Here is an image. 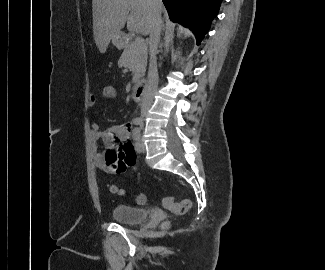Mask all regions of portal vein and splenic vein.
Masks as SVG:
<instances>
[{
    "instance_id": "obj_1",
    "label": "portal vein and splenic vein",
    "mask_w": 325,
    "mask_h": 270,
    "mask_svg": "<svg viewBox=\"0 0 325 270\" xmlns=\"http://www.w3.org/2000/svg\"><path fill=\"white\" fill-rule=\"evenodd\" d=\"M135 42L140 46L144 45V43H145L144 39L142 37H139V36H137L135 38Z\"/></svg>"
}]
</instances>
